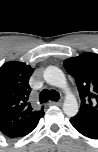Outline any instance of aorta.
Masks as SVG:
<instances>
[{
	"label": "aorta",
	"instance_id": "1",
	"mask_svg": "<svg viewBox=\"0 0 98 152\" xmlns=\"http://www.w3.org/2000/svg\"><path fill=\"white\" fill-rule=\"evenodd\" d=\"M43 76L48 84L64 90L65 101L63 111L69 117L75 116L79 110L78 102L76 97L69 90L66 77L62 70L55 66H49L45 69Z\"/></svg>",
	"mask_w": 98,
	"mask_h": 152
}]
</instances>
